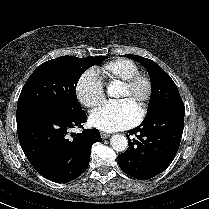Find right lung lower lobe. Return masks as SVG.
I'll return each instance as SVG.
<instances>
[{
	"label": "right lung lower lobe",
	"mask_w": 209,
	"mask_h": 209,
	"mask_svg": "<svg viewBox=\"0 0 209 209\" xmlns=\"http://www.w3.org/2000/svg\"><path fill=\"white\" fill-rule=\"evenodd\" d=\"M86 113L80 110L50 109L17 122L20 145L34 169L53 182H68L87 168L91 146L100 142L97 129L68 137L71 128L82 127Z\"/></svg>",
	"instance_id": "1"
}]
</instances>
